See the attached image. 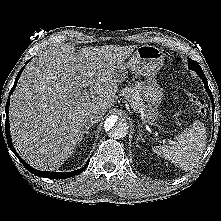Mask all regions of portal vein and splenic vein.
Here are the masks:
<instances>
[{
  "label": "portal vein and splenic vein",
  "mask_w": 221,
  "mask_h": 221,
  "mask_svg": "<svg viewBox=\"0 0 221 221\" xmlns=\"http://www.w3.org/2000/svg\"><path fill=\"white\" fill-rule=\"evenodd\" d=\"M84 95H85L86 97H88V93H87V92H85Z\"/></svg>",
  "instance_id": "portal-vein-and-splenic-vein-1"
}]
</instances>
